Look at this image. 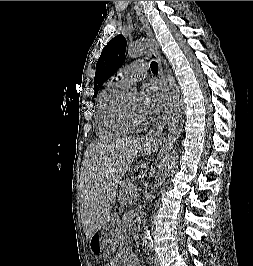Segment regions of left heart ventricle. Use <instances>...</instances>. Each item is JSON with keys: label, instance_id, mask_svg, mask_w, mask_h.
I'll return each instance as SVG.
<instances>
[{"label": "left heart ventricle", "instance_id": "left-heart-ventricle-1", "mask_svg": "<svg viewBox=\"0 0 253 266\" xmlns=\"http://www.w3.org/2000/svg\"><path fill=\"white\" fill-rule=\"evenodd\" d=\"M127 107L131 115L141 118L142 114L139 107V96L135 92H130L127 97Z\"/></svg>", "mask_w": 253, "mask_h": 266}]
</instances>
